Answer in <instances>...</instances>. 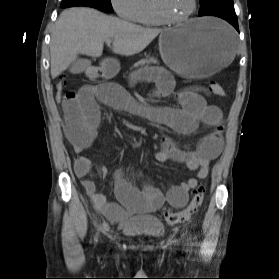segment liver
<instances>
[{"instance_id": "6515ba94", "label": "liver", "mask_w": 279, "mask_h": 279, "mask_svg": "<svg viewBox=\"0 0 279 279\" xmlns=\"http://www.w3.org/2000/svg\"><path fill=\"white\" fill-rule=\"evenodd\" d=\"M161 32V29L135 25L92 8L65 10L51 35V76L53 79L59 76L79 53L100 57L107 40L112 41L113 52L131 56L143 51Z\"/></svg>"}]
</instances>
